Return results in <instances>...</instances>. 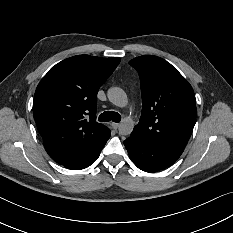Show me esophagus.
I'll return each mask as SVG.
<instances>
[{"mask_svg":"<svg viewBox=\"0 0 233 233\" xmlns=\"http://www.w3.org/2000/svg\"><path fill=\"white\" fill-rule=\"evenodd\" d=\"M111 126L113 127L114 130H117L118 127H119V123L112 122V123H111Z\"/></svg>","mask_w":233,"mask_h":233,"instance_id":"1","label":"esophagus"}]
</instances>
